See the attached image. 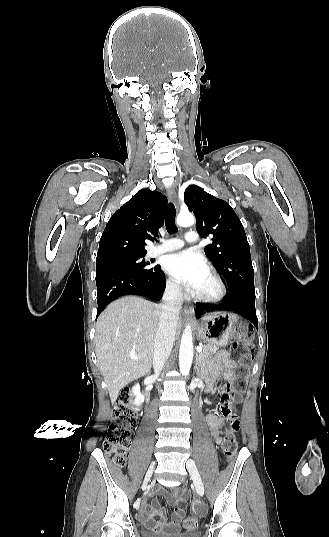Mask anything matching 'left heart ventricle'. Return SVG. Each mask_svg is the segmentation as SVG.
Listing matches in <instances>:
<instances>
[{
    "mask_svg": "<svg viewBox=\"0 0 329 537\" xmlns=\"http://www.w3.org/2000/svg\"><path fill=\"white\" fill-rule=\"evenodd\" d=\"M216 291V284L209 273L206 274L196 292L201 294H212Z\"/></svg>",
    "mask_w": 329,
    "mask_h": 537,
    "instance_id": "b2bd125f",
    "label": "left heart ventricle"
}]
</instances>
